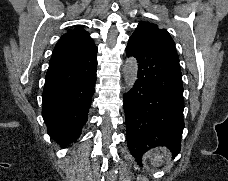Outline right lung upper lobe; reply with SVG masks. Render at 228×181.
<instances>
[{"mask_svg": "<svg viewBox=\"0 0 228 181\" xmlns=\"http://www.w3.org/2000/svg\"><path fill=\"white\" fill-rule=\"evenodd\" d=\"M92 47H95V44L89 34L81 27H77L74 30H69L60 38L50 62L79 54Z\"/></svg>", "mask_w": 228, "mask_h": 181, "instance_id": "cb5924a9", "label": "right lung upper lobe"}]
</instances>
